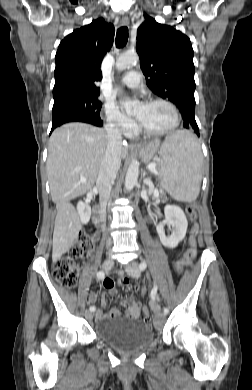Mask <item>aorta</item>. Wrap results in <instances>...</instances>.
I'll return each mask as SVG.
<instances>
[{
  "mask_svg": "<svg viewBox=\"0 0 252 390\" xmlns=\"http://www.w3.org/2000/svg\"><path fill=\"white\" fill-rule=\"evenodd\" d=\"M137 61H138V57L136 54H129V53L122 54L117 59L116 68L119 71H122L128 67H131ZM122 106L127 112H130L138 106V101L127 98L122 102ZM138 175H139V164L135 161H132L127 169V173L125 176V188L127 191H131L134 188V186L137 184Z\"/></svg>",
  "mask_w": 252,
  "mask_h": 390,
  "instance_id": "1",
  "label": "aorta"
}]
</instances>
